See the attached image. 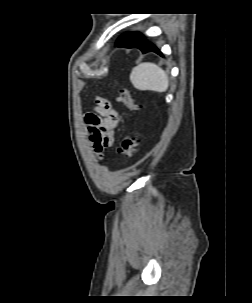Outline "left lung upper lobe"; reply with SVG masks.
I'll use <instances>...</instances> for the list:
<instances>
[{"label": "left lung upper lobe", "mask_w": 252, "mask_h": 303, "mask_svg": "<svg viewBox=\"0 0 252 303\" xmlns=\"http://www.w3.org/2000/svg\"><path fill=\"white\" fill-rule=\"evenodd\" d=\"M129 33H126V34H124V35H122L118 40H117V43L119 42V41H121L126 35H128ZM116 43V44H117Z\"/></svg>", "instance_id": "left-lung-upper-lobe-1"}]
</instances>
